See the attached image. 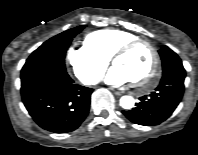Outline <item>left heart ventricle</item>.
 <instances>
[{"mask_svg":"<svg viewBox=\"0 0 198 155\" xmlns=\"http://www.w3.org/2000/svg\"><path fill=\"white\" fill-rule=\"evenodd\" d=\"M114 65L122 68L133 82H139L151 71L153 56L147 45L139 44L127 54L116 58Z\"/></svg>","mask_w":198,"mask_h":155,"instance_id":"b2bd125f","label":"left heart ventricle"}]
</instances>
